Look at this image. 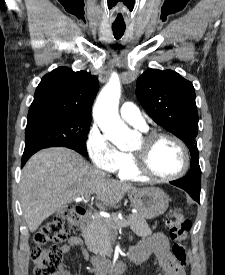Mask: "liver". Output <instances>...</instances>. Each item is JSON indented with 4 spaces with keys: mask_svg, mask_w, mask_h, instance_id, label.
Returning a JSON list of instances; mask_svg holds the SVG:
<instances>
[{
    "mask_svg": "<svg viewBox=\"0 0 225 275\" xmlns=\"http://www.w3.org/2000/svg\"><path fill=\"white\" fill-rule=\"evenodd\" d=\"M130 184L112 180L77 152L52 147L40 150L25 164L20 181V202L30 232L77 198L96 195L101 209L116 206Z\"/></svg>",
    "mask_w": 225,
    "mask_h": 275,
    "instance_id": "1",
    "label": "liver"
}]
</instances>
